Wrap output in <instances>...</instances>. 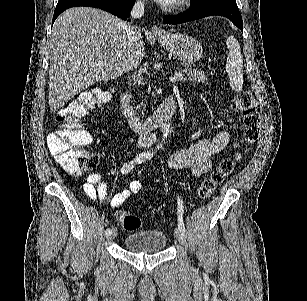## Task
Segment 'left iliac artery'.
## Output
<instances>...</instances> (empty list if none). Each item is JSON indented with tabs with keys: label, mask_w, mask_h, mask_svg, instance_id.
I'll list each match as a JSON object with an SVG mask.
<instances>
[{
	"label": "left iliac artery",
	"mask_w": 307,
	"mask_h": 301,
	"mask_svg": "<svg viewBox=\"0 0 307 301\" xmlns=\"http://www.w3.org/2000/svg\"><path fill=\"white\" fill-rule=\"evenodd\" d=\"M177 203H178V214H179L178 215V228L182 232V234L185 236L186 235V229H185L183 218H182V215H183V201L179 198V196H178Z\"/></svg>",
	"instance_id": "obj_1"
}]
</instances>
